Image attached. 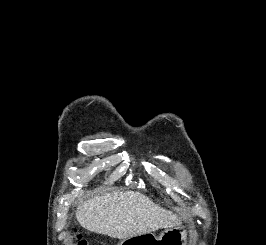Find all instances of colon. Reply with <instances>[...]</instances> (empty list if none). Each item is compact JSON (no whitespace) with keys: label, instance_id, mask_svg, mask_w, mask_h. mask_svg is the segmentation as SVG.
Returning <instances> with one entry per match:
<instances>
[{"label":"colon","instance_id":"obj_1","mask_svg":"<svg viewBox=\"0 0 266 245\" xmlns=\"http://www.w3.org/2000/svg\"><path fill=\"white\" fill-rule=\"evenodd\" d=\"M71 235L75 241V245H88L86 240L82 237L80 233L75 230H71Z\"/></svg>","mask_w":266,"mask_h":245}]
</instances>
